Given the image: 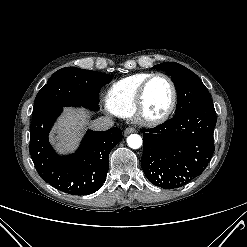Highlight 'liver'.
I'll use <instances>...</instances> for the list:
<instances>
[{
	"label": "liver",
	"mask_w": 247,
	"mask_h": 247,
	"mask_svg": "<svg viewBox=\"0 0 247 247\" xmlns=\"http://www.w3.org/2000/svg\"><path fill=\"white\" fill-rule=\"evenodd\" d=\"M88 118L89 113L85 109L66 108L51 134V143L60 152L73 151Z\"/></svg>",
	"instance_id": "liver-1"
}]
</instances>
